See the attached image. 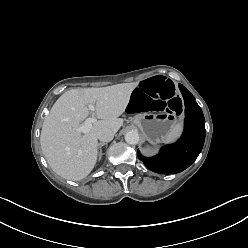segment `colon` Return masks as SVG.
I'll return each instance as SVG.
<instances>
[{
	"mask_svg": "<svg viewBox=\"0 0 248 248\" xmlns=\"http://www.w3.org/2000/svg\"><path fill=\"white\" fill-rule=\"evenodd\" d=\"M128 109L132 113L168 110L179 112L182 109V100L173 83L158 77L136 86L128 103Z\"/></svg>",
	"mask_w": 248,
	"mask_h": 248,
	"instance_id": "5ec220e1",
	"label": "colon"
}]
</instances>
